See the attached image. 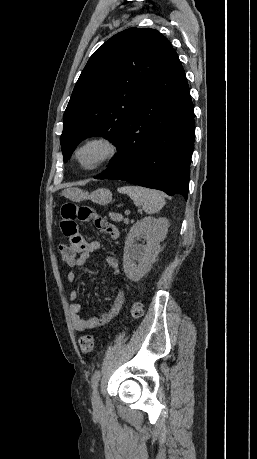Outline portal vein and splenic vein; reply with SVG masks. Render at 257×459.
I'll return each mask as SVG.
<instances>
[{
    "label": "portal vein and splenic vein",
    "instance_id": "18ae733b",
    "mask_svg": "<svg viewBox=\"0 0 257 459\" xmlns=\"http://www.w3.org/2000/svg\"><path fill=\"white\" fill-rule=\"evenodd\" d=\"M124 222H125V223H128V222H129V220L126 218V219L124 220Z\"/></svg>",
    "mask_w": 257,
    "mask_h": 459
}]
</instances>
